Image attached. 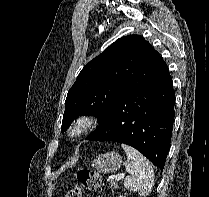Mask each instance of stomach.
Segmentation results:
<instances>
[{
    "label": "stomach",
    "instance_id": "0dacf381",
    "mask_svg": "<svg viewBox=\"0 0 209 197\" xmlns=\"http://www.w3.org/2000/svg\"><path fill=\"white\" fill-rule=\"evenodd\" d=\"M122 158L117 152H108L97 156L92 166L100 173H110L117 171L121 167Z\"/></svg>",
    "mask_w": 209,
    "mask_h": 197
}]
</instances>
